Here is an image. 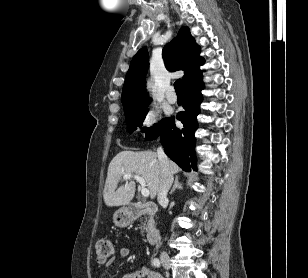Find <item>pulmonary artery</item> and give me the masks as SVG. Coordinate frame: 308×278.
<instances>
[{"label":"pulmonary artery","mask_w":308,"mask_h":278,"mask_svg":"<svg viewBox=\"0 0 308 278\" xmlns=\"http://www.w3.org/2000/svg\"><path fill=\"white\" fill-rule=\"evenodd\" d=\"M166 99L168 100V102L170 103H175L177 101V95L174 92V88L173 87H169L167 89L166 92Z\"/></svg>","instance_id":"1"}]
</instances>
